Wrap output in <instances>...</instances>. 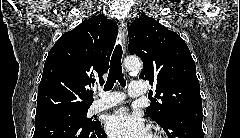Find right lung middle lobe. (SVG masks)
Returning a JSON list of instances; mask_svg holds the SVG:
<instances>
[{
    "instance_id": "1",
    "label": "right lung middle lobe",
    "mask_w": 240,
    "mask_h": 138,
    "mask_svg": "<svg viewBox=\"0 0 240 138\" xmlns=\"http://www.w3.org/2000/svg\"><path fill=\"white\" fill-rule=\"evenodd\" d=\"M89 107H82V108H70L64 109L59 111H54L50 113L40 114L35 116V121H42L45 119L58 117V116H72L79 120L84 125H91L94 124L93 121L86 117Z\"/></svg>"
}]
</instances>
